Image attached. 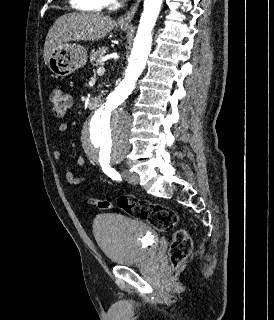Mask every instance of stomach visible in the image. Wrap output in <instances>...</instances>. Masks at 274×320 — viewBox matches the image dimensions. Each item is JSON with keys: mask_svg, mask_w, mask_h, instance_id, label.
I'll return each mask as SVG.
<instances>
[{"mask_svg": "<svg viewBox=\"0 0 274 320\" xmlns=\"http://www.w3.org/2000/svg\"><path fill=\"white\" fill-rule=\"evenodd\" d=\"M122 32H127L129 28L119 26ZM87 62V52L82 46H71V44H63L60 48H56L51 58L48 60V68L57 78H65L70 76L78 68H83Z\"/></svg>", "mask_w": 274, "mask_h": 320, "instance_id": "obj_1", "label": "stomach"}]
</instances>
